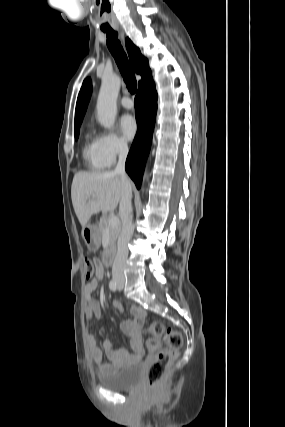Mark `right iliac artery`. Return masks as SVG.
I'll use <instances>...</instances> for the list:
<instances>
[{
  "label": "right iliac artery",
  "mask_w": 285,
  "mask_h": 427,
  "mask_svg": "<svg viewBox=\"0 0 285 427\" xmlns=\"http://www.w3.org/2000/svg\"><path fill=\"white\" fill-rule=\"evenodd\" d=\"M109 288H110L112 291H116V289H117V284H116V282H115L114 280H111V281H110V283H109Z\"/></svg>",
  "instance_id": "82829eb1"
}]
</instances>
